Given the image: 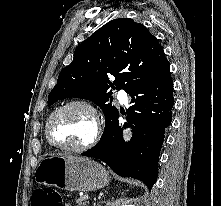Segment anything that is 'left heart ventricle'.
Returning a JSON list of instances; mask_svg holds the SVG:
<instances>
[{
    "instance_id": "obj_1",
    "label": "left heart ventricle",
    "mask_w": 221,
    "mask_h": 206,
    "mask_svg": "<svg viewBox=\"0 0 221 206\" xmlns=\"http://www.w3.org/2000/svg\"><path fill=\"white\" fill-rule=\"evenodd\" d=\"M50 133L52 140L57 144L80 146L92 136V117L84 108H68L54 118Z\"/></svg>"
}]
</instances>
